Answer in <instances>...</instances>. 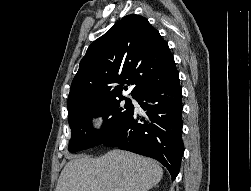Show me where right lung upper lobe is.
Listing matches in <instances>:
<instances>
[{"instance_id": "1", "label": "right lung upper lobe", "mask_w": 251, "mask_h": 191, "mask_svg": "<svg viewBox=\"0 0 251 191\" xmlns=\"http://www.w3.org/2000/svg\"><path fill=\"white\" fill-rule=\"evenodd\" d=\"M177 72L159 32L145 17L127 15L87 49L72 81L67 107L126 98L122 96L125 84H135L130 94L136 98Z\"/></svg>"}]
</instances>
